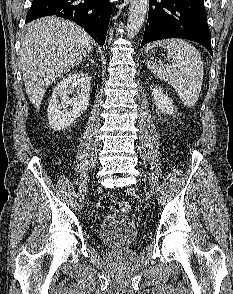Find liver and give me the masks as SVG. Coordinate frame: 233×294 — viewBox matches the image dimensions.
<instances>
[{
	"label": "liver",
	"mask_w": 233,
	"mask_h": 294,
	"mask_svg": "<svg viewBox=\"0 0 233 294\" xmlns=\"http://www.w3.org/2000/svg\"><path fill=\"white\" fill-rule=\"evenodd\" d=\"M92 49V38L71 21L45 17L31 23L20 55L26 93L37 111L49 85L80 63Z\"/></svg>",
	"instance_id": "1"
}]
</instances>
